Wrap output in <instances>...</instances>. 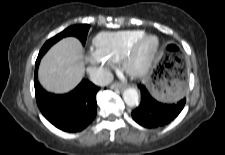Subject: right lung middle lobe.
Instances as JSON below:
<instances>
[{
	"mask_svg": "<svg viewBox=\"0 0 225 155\" xmlns=\"http://www.w3.org/2000/svg\"><path fill=\"white\" fill-rule=\"evenodd\" d=\"M89 28H90V26L87 24L74 25V26H70V27L66 28L64 31H62L58 35L54 36L53 38L49 39L44 44V46L42 47V49L39 52L38 57L41 58L54 43H56L61 38L66 37V36H75V37L79 38L81 40L82 44L84 45L86 42Z\"/></svg>",
	"mask_w": 225,
	"mask_h": 155,
	"instance_id": "right-lung-middle-lobe-1",
	"label": "right lung middle lobe"
}]
</instances>
